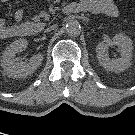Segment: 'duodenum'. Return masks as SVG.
<instances>
[{
    "label": "duodenum",
    "instance_id": "1",
    "mask_svg": "<svg viewBox=\"0 0 135 135\" xmlns=\"http://www.w3.org/2000/svg\"><path fill=\"white\" fill-rule=\"evenodd\" d=\"M20 32H22V33H26V34H28V33H29V31H28L27 29H25V28H21V29H20Z\"/></svg>",
    "mask_w": 135,
    "mask_h": 135
}]
</instances>
